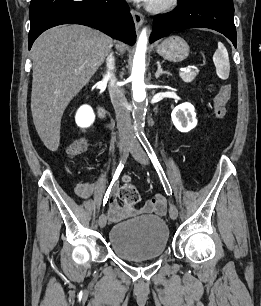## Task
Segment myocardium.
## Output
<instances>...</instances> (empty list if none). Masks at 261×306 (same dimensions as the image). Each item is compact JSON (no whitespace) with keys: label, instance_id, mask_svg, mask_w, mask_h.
<instances>
[{"label":"myocardium","instance_id":"obj_1","mask_svg":"<svg viewBox=\"0 0 261 306\" xmlns=\"http://www.w3.org/2000/svg\"><path fill=\"white\" fill-rule=\"evenodd\" d=\"M179 0H151L148 9L155 13L167 12L178 5Z\"/></svg>","mask_w":261,"mask_h":306}]
</instances>
